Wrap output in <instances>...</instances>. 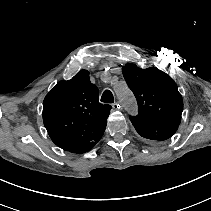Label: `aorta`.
Masks as SVG:
<instances>
[{"label": "aorta", "instance_id": "aorta-1", "mask_svg": "<svg viewBox=\"0 0 211 211\" xmlns=\"http://www.w3.org/2000/svg\"><path fill=\"white\" fill-rule=\"evenodd\" d=\"M119 100L124 104L126 110L131 113H135L137 106L133 94L125 87H117L115 89Z\"/></svg>", "mask_w": 211, "mask_h": 211}]
</instances>
